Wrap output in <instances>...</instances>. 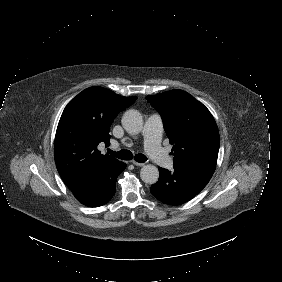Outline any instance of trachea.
Listing matches in <instances>:
<instances>
[{
  "label": "trachea",
  "instance_id": "1",
  "mask_svg": "<svg viewBox=\"0 0 282 282\" xmlns=\"http://www.w3.org/2000/svg\"><path fill=\"white\" fill-rule=\"evenodd\" d=\"M108 153L121 160H131L134 158L135 161L139 163H144L147 160V157L144 154L139 153L133 156V154L129 150H120L118 152H115L109 149Z\"/></svg>",
  "mask_w": 282,
  "mask_h": 282
}]
</instances>
